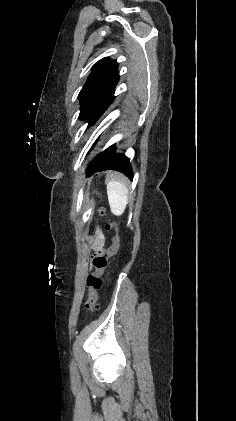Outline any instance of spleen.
<instances>
[{"label":"spleen","mask_w":236,"mask_h":421,"mask_svg":"<svg viewBox=\"0 0 236 421\" xmlns=\"http://www.w3.org/2000/svg\"><path fill=\"white\" fill-rule=\"evenodd\" d=\"M107 194L113 215H123L128 202V188L118 180H108Z\"/></svg>","instance_id":"1"}]
</instances>
